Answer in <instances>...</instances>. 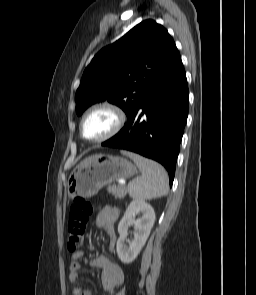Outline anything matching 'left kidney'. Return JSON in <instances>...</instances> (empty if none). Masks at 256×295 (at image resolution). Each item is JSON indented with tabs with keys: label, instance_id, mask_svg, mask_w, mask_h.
Here are the masks:
<instances>
[{
	"label": "left kidney",
	"instance_id": "5707ae66",
	"mask_svg": "<svg viewBox=\"0 0 256 295\" xmlns=\"http://www.w3.org/2000/svg\"><path fill=\"white\" fill-rule=\"evenodd\" d=\"M136 213H142V218L134 220ZM155 222V212L150 204L144 200L135 199L128 205L123 218L118 225L119 238L117 240V254L124 264L135 260L150 235ZM135 226V237L129 245L125 244L128 235V227Z\"/></svg>",
	"mask_w": 256,
	"mask_h": 295
}]
</instances>
